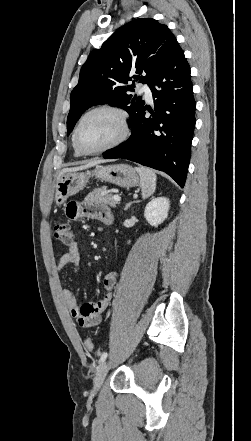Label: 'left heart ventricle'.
Returning <instances> with one entry per match:
<instances>
[{
	"label": "left heart ventricle",
	"instance_id": "left-heart-ventricle-1",
	"mask_svg": "<svg viewBox=\"0 0 251 441\" xmlns=\"http://www.w3.org/2000/svg\"><path fill=\"white\" fill-rule=\"evenodd\" d=\"M120 132L117 116L108 111H99L84 120L79 131V143L85 150H95L112 142Z\"/></svg>",
	"mask_w": 251,
	"mask_h": 441
}]
</instances>
